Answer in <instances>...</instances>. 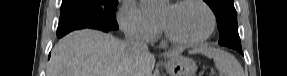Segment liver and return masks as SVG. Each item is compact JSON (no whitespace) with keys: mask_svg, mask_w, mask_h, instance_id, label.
I'll return each instance as SVG.
<instances>
[{"mask_svg":"<svg viewBox=\"0 0 287 76\" xmlns=\"http://www.w3.org/2000/svg\"><path fill=\"white\" fill-rule=\"evenodd\" d=\"M179 56V52L165 57ZM151 53L131 56L125 43L113 35L92 29L73 31L54 46L47 76H152Z\"/></svg>","mask_w":287,"mask_h":76,"instance_id":"obj_1","label":"liver"}]
</instances>
